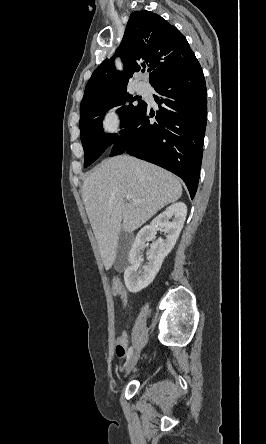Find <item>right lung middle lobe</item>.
<instances>
[{
    "label": "right lung middle lobe",
    "mask_w": 266,
    "mask_h": 444,
    "mask_svg": "<svg viewBox=\"0 0 266 444\" xmlns=\"http://www.w3.org/2000/svg\"><path fill=\"white\" fill-rule=\"evenodd\" d=\"M135 100L137 99L132 98L126 89H122L81 105L79 126L84 148V167L98 159L116 139V136H108L102 131V115L113 107L121 106L117 113L120 114L121 127L126 128L142 113L146 105L144 101L133 104Z\"/></svg>",
    "instance_id": "1"
}]
</instances>
